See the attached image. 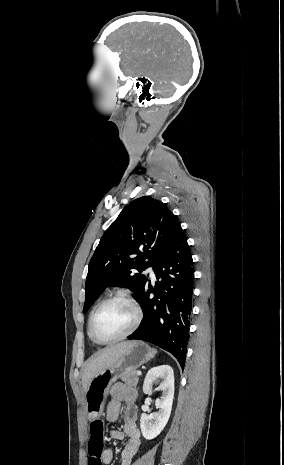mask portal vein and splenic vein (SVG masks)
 Returning a JSON list of instances; mask_svg holds the SVG:
<instances>
[{
	"label": "portal vein and splenic vein",
	"instance_id": "obj_1",
	"mask_svg": "<svg viewBox=\"0 0 284 465\" xmlns=\"http://www.w3.org/2000/svg\"><path fill=\"white\" fill-rule=\"evenodd\" d=\"M137 375H142L141 371H137Z\"/></svg>",
	"mask_w": 284,
	"mask_h": 465
}]
</instances>
